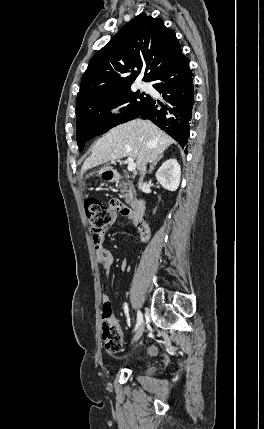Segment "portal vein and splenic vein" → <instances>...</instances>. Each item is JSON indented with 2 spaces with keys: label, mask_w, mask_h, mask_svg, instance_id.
Masks as SVG:
<instances>
[{
  "label": "portal vein and splenic vein",
  "mask_w": 264,
  "mask_h": 429,
  "mask_svg": "<svg viewBox=\"0 0 264 429\" xmlns=\"http://www.w3.org/2000/svg\"><path fill=\"white\" fill-rule=\"evenodd\" d=\"M127 161H128V170L129 171H134L136 169V164L134 163L133 158L128 157ZM112 162L114 163L115 160H113Z\"/></svg>",
  "instance_id": "1"
}]
</instances>
